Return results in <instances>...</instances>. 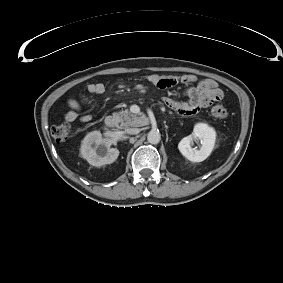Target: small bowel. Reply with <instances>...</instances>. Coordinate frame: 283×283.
<instances>
[{
  "label": "small bowel",
  "instance_id": "small-bowel-1",
  "mask_svg": "<svg viewBox=\"0 0 283 283\" xmlns=\"http://www.w3.org/2000/svg\"><path fill=\"white\" fill-rule=\"evenodd\" d=\"M145 80L161 89L168 88L176 82V79L163 78L158 74H148L145 76ZM180 80L186 84L196 82L195 86L186 89V101L178 102L170 97H165L164 102L167 106L176 109L181 114H195L201 108H205L223 98V91L213 79L206 78L197 81V78L193 75H183L180 77ZM87 91L91 94H102L105 91V87L102 83L94 82L87 85ZM67 105L69 110L64 114V119L67 122H74L79 119L81 122L87 123L92 120L89 114L80 115L82 107L77 100L69 99Z\"/></svg>",
  "mask_w": 283,
  "mask_h": 283
}]
</instances>
